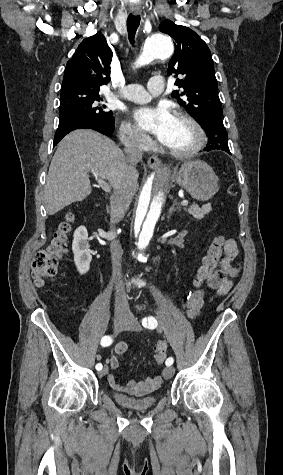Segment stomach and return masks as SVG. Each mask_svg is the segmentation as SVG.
Here are the masks:
<instances>
[{"label": "stomach", "mask_w": 283, "mask_h": 475, "mask_svg": "<svg viewBox=\"0 0 283 475\" xmlns=\"http://www.w3.org/2000/svg\"><path fill=\"white\" fill-rule=\"evenodd\" d=\"M157 172L161 176L169 174L168 168H160ZM169 178L187 190L192 198L201 202H207L219 190L215 172L203 160H186Z\"/></svg>", "instance_id": "stomach-1"}]
</instances>
